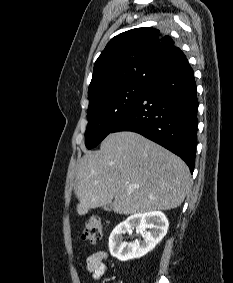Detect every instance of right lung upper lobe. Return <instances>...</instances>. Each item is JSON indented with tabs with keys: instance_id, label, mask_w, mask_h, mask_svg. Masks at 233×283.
Returning <instances> with one entry per match:
<instances>
[{
	"instance_id": "1",
	"label": "right lung upper lobe",
	"mask_w": 233,
	"mask_h": 283,
	"mask_svg": "<svg viewBox=\"0 0 233 283\" xmlns=\"http://www.w3.org/2000/svg\"><path fill=\"white\" fill-rule=\"evenodd\" d=\"M186 58L171 37L155 28H136L109 41L95 62L89 103L114 89L148 84Z\"/></svg>"
}]
</instances>
